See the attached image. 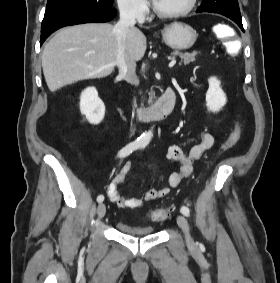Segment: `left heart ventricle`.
<instances>
[{
  "label": "left heart ventricle",
  "mask_w": 280,
  "mask_h": 283,
  "mask_svg": "<svg viewBox=\"0 0 280 283\" xmlns=\"http://www.w3.org/2000/svg\"><path fill=\"white\" fill-rule=\"evenodd\" d=\"M189 0H154L156 8L164 13L176 12L184 9Z\"/></svg>",
  "instance_id": "left-heart-ventricle-1"
}]
</instances>
